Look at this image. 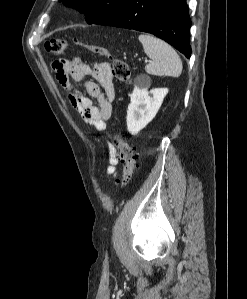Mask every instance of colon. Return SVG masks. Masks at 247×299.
Returning a JSON list of instances; mask_svg holds the SVG:
<instances>
[{
	"mask_svg": "<svg viewBox=\"0 0 247 299\" xmlns=\"http://www.w3.org/2000/svg\"><path fill=\"white\" fill-rule=\"evenodd\" d=\"M69 42L63 38H51L45 42V49L47 52L62 55ZM79 45L85 47L93 54L99 57H107L112 60L110 67L111 76L120 82H128L131 76L130 68L127 62L119 58H113L108 49L95 44H83ZM113 143L119 150L120 159L123 163V175L120 181L122 187L126 186L136 169V154L132 145L127 141V139L119 132L113 134Z\"/></svg>",
	"mask_w": 247,
	"mask_h": 299,
	"instance_id": "5ec220e1",
	"label": "colon"
}]
</instances>
